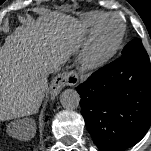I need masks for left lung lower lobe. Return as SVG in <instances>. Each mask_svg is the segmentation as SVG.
Masks as SVG:
<instances>
[{
  "mask_svg": "<svg viewBox=\"0 0 151 151\" xmlns=\"http://www.w3.org/2000/svg\"><path fill=\"white\" fill-rule=\"evenodd\" d=\"M81 114L101 151L137 144L151 125V63L146 50L120 57L76 88Z\"/></svg>",
  "mask_w": 151,
  "mask_h": 151,
  "instance_id": "left-lung-lower-lobe-1",
  "label": "left lung lower lobe"
}]
</instances>
